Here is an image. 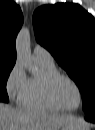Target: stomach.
Masks as SVG:
<instances>
[{"label":"stomach","instance_id":"obj_1","mask_svg":"<svg viewBox=\"0 0 95 130\" xmlns=\"http://www.w3.org/2000/svg\"><path fill=\"white\" fill-rule=\"evenodd\" d=\"M85 125L78 120H75L73 122L66 123L62 125L59 130H87L83 128Z\"/></svg>","mask_w":95,"mask_h":130}]
</instances>
